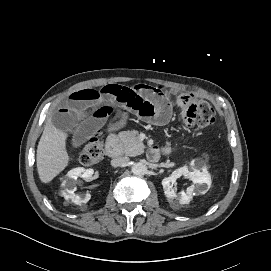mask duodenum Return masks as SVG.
Wrapping results in <instances>:
<instances>
[{
  "mask_svg": "<svg viewBox=\"0 0 271 271\" xmlns=\"http://www.w3.org/2000/svg\"><path fill=\"white\" fill-rule=\"evenodd\" d=\"M106 153L110 158H119L121 156V147L118 135H109L105 143Z\"/></svg>",
  "mask_w": 271,
  "mask_h": 271,
  "instance_id": "1",
  "label": "duodenum"
}]
</instances>
